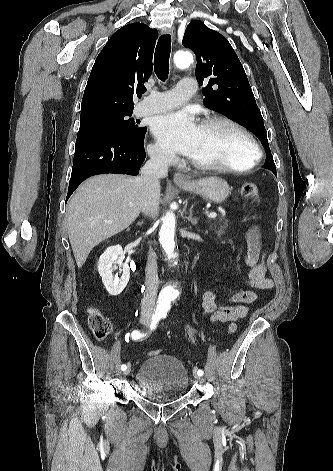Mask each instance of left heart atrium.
Masks as SVG:
<instances>
[{"instance_id":"obj_1","label":"left heart atrium","mask_w":333,"mask_h":471,"mask_svg":"<svg viewBox=\"0 0 333 471\" xmlns=\"http://www.w3.org/2000/svg\"><path fill=\"white\" fill-rule=\"evenodd\" d=\"M199 126L190 111L171 112L158 117L153 125L157 140L167 149L190 156Z\"/></svg>"}]
</instances>
